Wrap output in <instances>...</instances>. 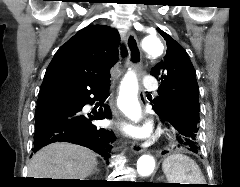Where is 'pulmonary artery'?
<instances>
[{
	"label": "pulmonary artery",
	"mask_w": 240,
	"mask_h": 187,
	"mask_svg": "<svg viewBox=\"0 0 240 187\" xmlns=\"http://www.w3.org/2000/svg\"><path fill=\"white\" fill-rule=\"evenodd\" d=\"M144 87L149 91L158 89V82L152 76H146L143 80Z\"/></svg>",
	"instance_id": "obj_1"
}]
</instances>
